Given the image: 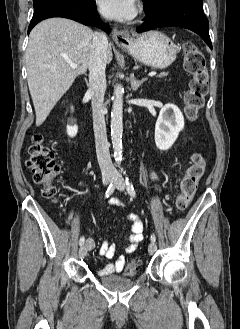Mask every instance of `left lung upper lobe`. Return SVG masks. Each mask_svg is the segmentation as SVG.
Segmentation results:
<instances>
[{"instance_id": "1", "label": "left lung upper lobe", "mask_w": 240, "mask_h": 329, "mask_svg": "<svg viewBox=\"0 0 240 329\" xmlns=\"http://www.w3.org/2000/svg\"><path fill=\"white\" fill-rule=\"evenodd\" d=\"M167 1L168 0H143L144 7L148 10L156 9Z\"/></svg>"}]
</instances>
